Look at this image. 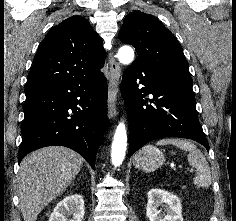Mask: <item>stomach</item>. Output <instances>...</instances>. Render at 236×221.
Segmentation results:
<instances>
[{
	"instance_id": "stomach-1",
	"label": "stomach",
	"mask_w": 236,
	"mask_h": 221,
	"mask_svg": "<svg viewBox=\"0 0 236 221\" xmlns=\"http://www.w3.org/2000/svg\"><path fill=\"white\" fill-rule=\"evenodd\" d=\"M165 162L162 151L152 145H146L141 148L134 157L136 168L145 172H152L158 169Z\"/></svg>"
}]
</instances>
